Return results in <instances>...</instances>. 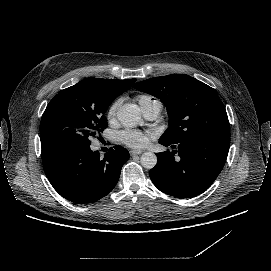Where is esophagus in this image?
<instances>
[{"label":"esophagus","instance_id":"obj_1","mask_svg":"<svg viewBox=\"0 0 271 271\" xmlns=\"http://www.w3.org/2000/svg\"><path fill=\"white\" fill-rule=\"evenodd\" d=\"M143 151L142 150H131L130 151V155L133 156V155H140L142 154Z\"/></svg>","mask_w":271,"mask_h":271}]
</instances>
